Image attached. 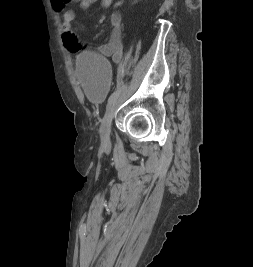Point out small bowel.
Returning a JSON list of instances; mask_svg holds the SVG:
<instances>
[{"label":"small bowel","instance_id":"c3829d8e","mask_svg":"<svg viewBox=\"0 0 253 267\" xmlns=\"http://www.w3.org/2000/svg\"><path fill=\"white\" fill-rule=\"evenodd\" d=\"M99 0H51L52 7L61 17V38L64 46L72 52H80L84 46L78 41L72 30V22L75 18L74 5H78L83 11L89 10L92 5ZM103 8L119 6L122 0H100ZM111 32L107 43L100 45L96 50L107 57H111L115 62H120L123 56L122 42V15L119 11H114L110 15Z\"/></svg>","mask_w":253,"mask_h":267}]
</instances>
